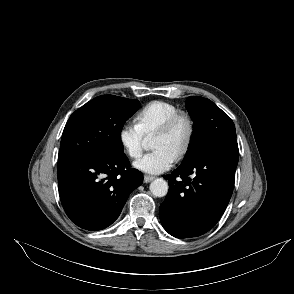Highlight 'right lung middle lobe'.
I'll return each mask as SVG.
<instances>
[{"label": "right lung middle lobe", "mask_w": 294, "mask_h": 294, "mask_svg": "<svg viewBox=\"0 0 294 294\" xmlns=\"http://www.w3.org/2000/svg\"><path fill=\"white\" fill-rule=\"evenodd\" d=\"M139 101L98 96L73 112L64 128L58 164L77 157L123 153L121 130Z\"/></svg>", "instance_id": "1"}]
</instances>
